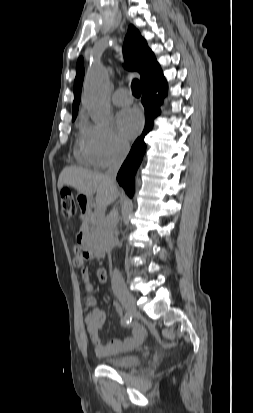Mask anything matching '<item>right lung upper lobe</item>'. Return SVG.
Masks as SVG:
<instances>
[{"instance_id": "cb5924a9", "label": "right lung upper lobe", "mask_w": 253, "mask_h": 413, "mask_svg": "<svg viewBox=\"0 0 253 413\" xmlns=\"http://www.w3.org/2000/svg\"><path fill=\"white\" fill-rule=\"evenodd\" d=\"M123 52L126 68L130 71H137L140 73V81L142 85L147 80L162 74L160 65L156 61L153 52L148 48L146 41L141 37L139 31L133 25H130L128 28V33L123 44ZM83 78V62L82 58H79L76 65V78L74 81L72 118H76L77 116Z\"/></svg>"}]
</instances>
